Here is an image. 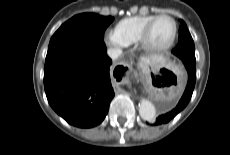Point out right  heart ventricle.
Returning <instances> with one entry per match:
<instances>
[{
    "mask_svg": "<svg viewBox=\"0 0 230 155\" xmlns=\"http://www.w3.org/2000/svg\"><path fill=\"white\" fill-rule=\"evenodd\" d=\"M157 15H138L125 18L114 28L115 33L127 44L139 42L146 25Z\"/></svg>",
    "mask_w": 230,
    "mask_h": 155,
    "instance_id": "1",
    "label": "right heart ventricle"
}]
</instances>
